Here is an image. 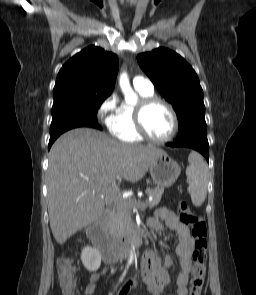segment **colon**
Listing matches in <instances>:
<instances>
[{"label":"colon","instance_id":"colon-1","mask_svg":"<svg viewBox=\"0 0 256 295\" xmlns=\"http://www.w3.org/2000/svg\"><path fill=\"white\" fill-rule=\"evenodd\" d=\"M177 212L183 224L192 228L194 250L193 267L189 295H202L207 273V226L204 217L194 213L184 201L177 203ZM59 279L63 295H75V273L72 260L68 257L59 259Z\"/></svg>","mask_w":256,"mask_h":295}]
</instances>
